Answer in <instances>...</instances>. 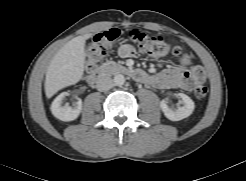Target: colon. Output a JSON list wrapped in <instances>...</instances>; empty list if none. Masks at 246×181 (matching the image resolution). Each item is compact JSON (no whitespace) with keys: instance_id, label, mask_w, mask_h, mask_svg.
I'll list each match as a JSON object with an SVG mask.
<instances>
[{"instance_id":"5ec220e1","label":"colon","mask_w":246,"mask_h":181,"mask_svg":"<svg viewBox=\"0 0 246 181\" xmlns=\"http://www.w3.org/2000/svg\"><path fill=\"white\" fill-rule=\"evenodd\" d=\"M119 36V31L115 28L98 33L91 40L87 51L86 67L89 71L94 70L98 64L107 56L115 40ZM130 39L136 44L138 51L151 58L163 57L169 53L178 55L181 48L178 45L168 43L161 35H149L138 29L129 31ZM199 70V68H197ZM208 90L205 86H199L195 90L197 99H204Z\"/></svg>"}]
</instances>
